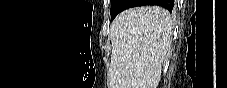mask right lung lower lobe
I'll return each instance as SVG.
<instances>
[{"instance_id":"right-lung-lower-lobe-1","label":"right lung lower lobe","mask_w":227,"mask_h":88,"mask_svg":"<svg viewBox=\"0 0 227 88\" xmlns=\"http://www.w3.org/2000/svg\"><path fill=\"white\" fill-rule=\"evenodd\" d=\"M142 5H159L172 12L174 0H129L124 10L130 7Z\"/></svg>"}]
</instances>
